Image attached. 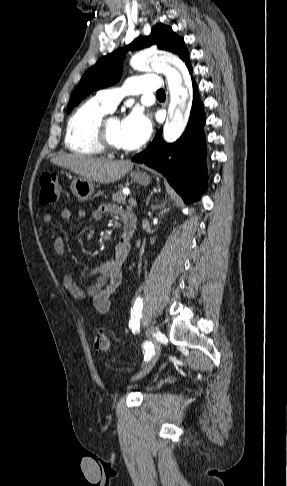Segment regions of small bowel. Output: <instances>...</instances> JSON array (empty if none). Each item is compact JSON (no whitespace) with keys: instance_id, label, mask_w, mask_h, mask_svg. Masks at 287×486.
<instances>
[{"instance_id":"1","label":"small bowel","mask_w":287,"mask_h":486,"mask_svg":"<svg viewBox=\"0 0 287 486\" xmlns=\"http://www.w3.org/2000/svg\"><path fill=\"white\" fill-rule=\"evenodd\" d=\"M127 214L129 213L124 212L118 206L105 203L92 212V218L94 220H100L104 215H121L124 218ZM60 216L63 220H70L73 217L83 219L86 217V211L83 209H77L75 211L63 209ZM53 222V215H44V225L50 226ZM93 235L94 233L90 231L86 234V238L91 239ZM53 248L58 256L65 257L66 242L62 236L54 240ZM129 249L130 244L123 246L119 241L112 258L87 269L85 278L92 279V281L86 287L75 283L70 272L65 270L63 274L65 289L75 299L84 300L86 298H92L94 307L100 314L108 313L111 305V297L115 294L122 281V266L128 257Z\"/></svg>"}]
</instances>
